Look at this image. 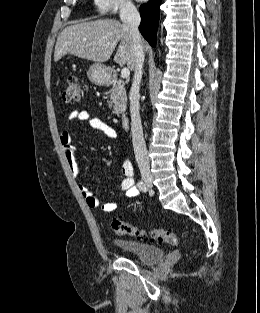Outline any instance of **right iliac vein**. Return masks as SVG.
Segmentation results:
<instances>
[{
  "instance_id": "right-iliac-vein-1",
  "label": "right iliac vein",
  "mask_w": 260,
  "mask_h": 313,
  "mask_svg": "<svg viewBox=\"0 0 260 313\" xmlns=\"http://www.w3.org/2000/svg\"><path fill=\"white\" fill-rule=\"evenodd\" d=\"M142 179L146 183L147 186H152V176L150 170L148 168H141L140 169Z\"/></svg>"
}]
</instances>
